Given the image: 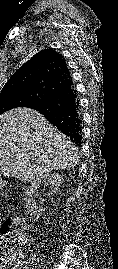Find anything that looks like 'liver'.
<instances>
[{
  "instance_id": "6515ba94",
  "label": "liver",
  "mask_w": 118,
  "mask_h": 269,
  "mask_svg": "<svg viewBox=\"0 0 118 269\" xmlns=\"http://www.w3.org/2000/svg\"><path fill=\"white\" fill-rule=\"evenodd\" d=\"M76 146L39 112L16 108L0 116V170L29 182L78 162Z\"/></svg>"
}]
</instances>
